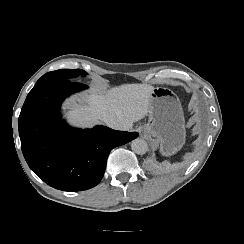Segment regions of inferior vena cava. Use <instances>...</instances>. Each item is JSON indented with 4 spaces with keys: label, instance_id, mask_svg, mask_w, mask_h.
<instances>
[{
    "label": "inferior vena cava",
    "instance_id": "inferior-vena-cava-1",
    "mask_svg": "<svg viewBox=\"0 0 244 244\" xmlns=\"http://www.w3.org/2000/svg\"><path fill=\"white\" fill-rule=\"evenodd\" d=\"M103 121L105 124L113 129H118V130H128L126 126L118 122L116 119L108 118V117H103Z\"/></svg>",
    "mask_w": 244,
    "mask_h": 244
}]
</instances>
